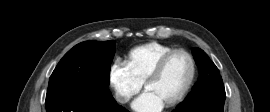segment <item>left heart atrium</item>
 <instances>
[{
    "mask_svg": "<svg viewBox=\"0 0 270 112\" xmlns=\"http://www.w3.org/2000/svg\"><path fill=\"white\" fill-rule=\"evenodd\" d=\"M165 104L151 92L145 91L132 104L136 112H161Z\"/></svg>",
    "mask_w": 270,
    "mask_h": 112,
    "instance_id": "obj_1",
    "label": "left heart atrium"
}]
</instances>
